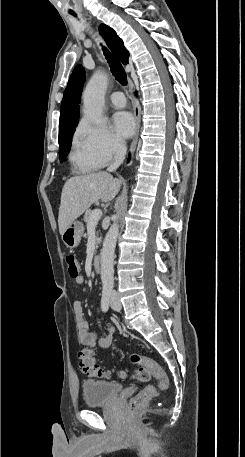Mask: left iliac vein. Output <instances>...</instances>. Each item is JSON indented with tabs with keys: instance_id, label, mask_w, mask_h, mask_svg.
Here are the masks:
<instances>
[{
	"instance_id": "obj_1",
	"label": "left iliac vein",
	"mask_w": 245,
	"mask_h": 457,
	"mask_svg": "<svg viewBox=\"0 0 245 457\" xmlns=\"http://www.w3.org/2000/svg\"><path fill=\"white\" fill-rule=\"evenodd\" d=\"M111 308L113 310H117V311L121 310V308H122L121 302L115 293L111 294Z\"/></svg>"
}]
</instances>
